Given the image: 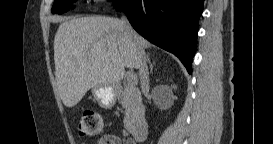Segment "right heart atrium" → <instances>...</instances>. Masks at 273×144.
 Segmentation results:
<instances>
[{
  "label": "right heart atrium",
  "instance_id": "right-heart-atrium-1",
  "mask_svg": "<svg viewBox=\"0 0 273 144\" xmlns=\"http://www.w3.org/2000/svg\"><path fill=\"white\" fill-rule=\"evenodd\" d=\"M97 2L100 3V4H106L107 3L106 0H98Z\"/></svg>",
  "mask_w": 273,
  "mask_h": 144
}]
</instances>
